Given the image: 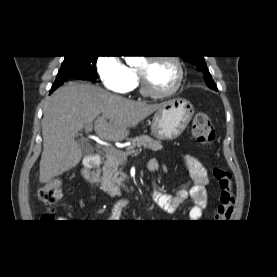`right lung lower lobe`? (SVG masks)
<instances>
[{
	"label": "right lung lower lobe",
	"instance_id": "obj_1",
	"mask_svg": "<svg viewBox=\"0 0 277 277\" xmlns=\"http://www.w3.org/2000/svg\"><path fill=\"white\" fill-rule=\"evenodd\" d=\"M70 79H87V78L80 76L79 74H76V73L58 74V76L56 77V80L54 82V85L52 87L51 92H53L57 87H59L64 81H67Z\"/></svg>",
	"mask_w": 277,
	"mask_h": 277
}]
</instances>
